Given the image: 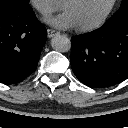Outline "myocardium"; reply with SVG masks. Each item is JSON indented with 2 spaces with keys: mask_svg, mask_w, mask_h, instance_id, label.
<instances>
[{
  "mask_svg": "<svg viewBox=\"0 0 128 128\" xmlns=\"http://www.w3.org/2000/svg\"><path fill=\"white\" fill-rule=\"evenodd\" d=\"M73 0H63L62 6L63 8L70 3ZM118 0H112L106 10L103 12V14L94 22L87 24V25H78V29L81 31H92L94 29H97L100 27L109 17V15L112 13L113 9L115 8Z\"/></svg>",
  "mask_w": 128,
  "mask_h": 128,
  "instance_id": "obj_1",
  "label": "myocardium"
}]
</instances>
